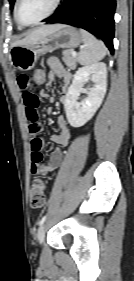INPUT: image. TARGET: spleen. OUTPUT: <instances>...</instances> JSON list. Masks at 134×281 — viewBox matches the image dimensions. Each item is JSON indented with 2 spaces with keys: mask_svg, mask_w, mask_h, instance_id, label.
<instances>
[{
  "mask_svg": "<svg viewBox=\"0 0 134 281\" xmlns=\"http://www.w3.org/2000/svg\"><path fill=\"white\" fill-rule=\"evenodd\" d=\"M80 32L84 45L78 54L79 63L81 65H91L102 60L107 54V48L104 43L83 29Z\"/></svg>",
  "mask_w": 134,
  "mask_h": 281,
  "instance_id": "1",
  "label": "spleen"
}]
</instances>
